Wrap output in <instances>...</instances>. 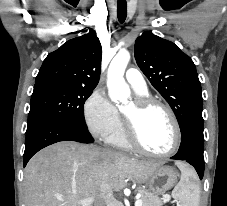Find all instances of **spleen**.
Masks as SVG:
<instances>
[{
    "instance_id": "spleen-1",
    "label": "spleen",
    "mask_w": 227,
    "mask_h": 206,
    "mask_svg": "<svg viewBox=\"0 0 227 206\" xmlns=\"http://www.w3.org/2000/svg\"><path fill=\"white\" fill-rule=\"evenodd\" d=\"M180 183L173 190V197L179 201V206H199L200 188L196 183L190 181L195 177L194 172L180 164Z\"/></svg>"
}]
</instances>
